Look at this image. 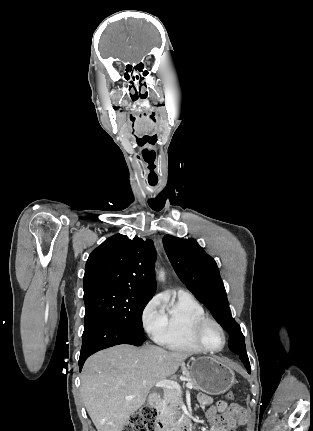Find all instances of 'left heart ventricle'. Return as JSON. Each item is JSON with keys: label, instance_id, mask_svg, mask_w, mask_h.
Instances as JSON below:
<instances>
[{"label": "left heart ventricle", "instance_id": "b2bd125f", "mask_svg": "<svg viewBox=\"0 0 313 431\" xmlns=\"http://www.w3.org/2000/svg\"><path fill=\"white\" fill-rule=\"evenodd\" d=\"M202 342L209 348L215 349L222 344V335L214 324H207L201 333Z\"/></svg>", "mask_w": 313, "mask_h": 431}]
</instances>
